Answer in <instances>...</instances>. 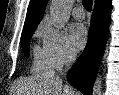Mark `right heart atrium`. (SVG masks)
<instances>
[{
  "instance_id": "1",
  "label": "right heart atrium",
  "mask_w": 119,
  "mask_h": 95,
  "mask_svg": "<svg viewBox=\"0 0 119 95\" xmlns=\"http://www.w3.org/2000/svg\"><path fill=\"white\" fill-rule=\"evenodd\" d=\"M41 35L43 47L54 69H60L74 59V52L65 33L54 29L50 25H45L41 30Z\"/></svg>"
}]
</instances>
